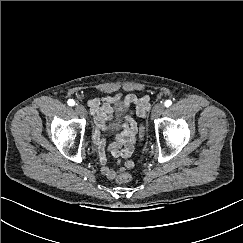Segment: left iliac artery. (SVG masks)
<instances>
[{"label":"left iliac artery","mask_w":243,"mask_h":243,"mask_svg":"<svg viewBox=\"0 0 243 243\" xmlns=\"http://www.w3.org/2000/svg\"><path fill=\"white\" fill-rule=\"evenodd\" d=\"M164 105H165L166 107H169V106L172 105V101H171V100H166L165 103H164Z\"/></svg>","instance_id":"obj_1"}]
</instances>
